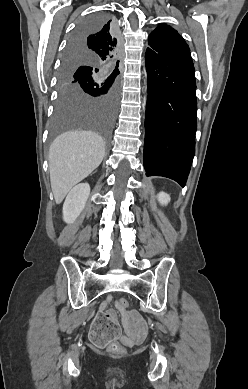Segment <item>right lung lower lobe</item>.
<instances>
[{
  "label": "right lung lower lobe",
  "mask_w": 248,
  "mask_h": 389,
  "mask_svg": "<svg viewBox=\"0 0 248 389\" xmlns=\"http://www.w3.org/2000/svg\"><path fill=\"white\" fill-rule=\"evenodd\" d=\"M112 24V23H111ZM112 27H113V31H114V34L116 35V37L118 38V35H117V33H116V31H115V28H114V25L112 24ZM80 40H81V38H79V39H76L75 40V44H73V45H68V47H67V50H66V52L67 53H69V54H74V53H76V51H75V47L76 46H78V43L80 42ZM80 72H83L84 70H79ZM78 73V72H77Z\"/></svg>",
  "instance_id": "obj_1"
}]
</instances>
